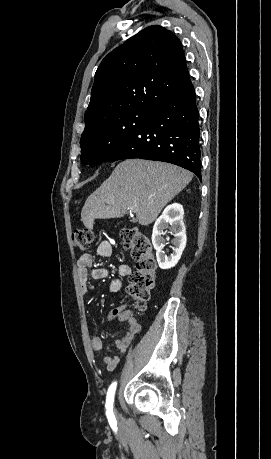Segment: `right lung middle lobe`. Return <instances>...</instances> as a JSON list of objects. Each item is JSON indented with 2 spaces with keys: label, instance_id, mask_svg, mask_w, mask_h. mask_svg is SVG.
I'll return each instance as SVG.
<instances>
[{
  "label": "right lung middle lobe",
  "instance_id": "obj_1",
  "mask_svg": "<svg viewBox=\"0 0 271 459\" xmlns=\"http://www.w3.org/2000/svg\"><path fill=\"white\" fill-rule=\"evenodd\" d=\"M155 109L153 106L139 105L86 122L80 139L81 162L90 166L105 162Z\"/></svg>",
  "mask_w": 271,
  "mask_h": 459
}]
</instances>
